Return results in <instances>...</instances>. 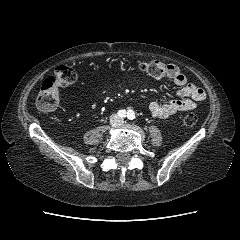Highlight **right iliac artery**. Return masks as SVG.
<instances>
[{"label": "right iliac artery", "mask_w": 240, "mask_h": 240, "mask_svg": "<svg viewBox=\"0 0 240 240\" xmlns=\"http://www.w3.org/2000/svg\"><path fill=\"white\" fill-rule=\"evenodd\" d=\"M126 110H119L118 111V116L121 117V118H124L126 117Z\"/></svg>", "instance_id": "1"}]
</instances>
